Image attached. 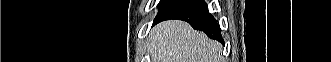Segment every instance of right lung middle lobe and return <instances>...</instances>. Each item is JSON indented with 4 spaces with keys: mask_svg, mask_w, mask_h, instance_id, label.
I'll return each instance as SVG.
<instances>
[{
    "mask_svg": "<svg viewBox=\"0 0 331 62\" xmlns=\"http://www.w3.org/2000/svg\"><path fill=\"white\" fill-rule=\"evenodd\" d=\"M179 0H161L158 4L159 12L157 16L162 14L166 9H168L170 6L178 2Z\"/></svg>",
    "mask_w": 331,
    "mask_h": 62,
    "instance_id": "obj_1",
    "label": "right lung middle lobe"
}]
</instances>
